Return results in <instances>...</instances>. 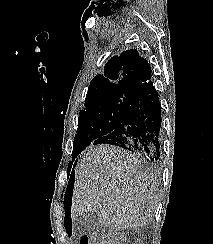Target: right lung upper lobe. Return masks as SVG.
Listing matches in <instances>:
<instances>
[{"instance_id": "1", "label": "right lung upper lobe", "mask_w": 213, "mask_h": 244, "mask_svg": "<svg viewBox=\"0 0 213 244\" xmlns=\"http://www.w3.org/2000/svg\"><path fill=\"white\" fill-rule=\"evenodd\" d=\"M151 79V67L138 51L130 49L112 57L105 65L104 75L95 76L88 88L85 104L105 96L130 94L136 96Z\"/></svg>"}]
</instances>
